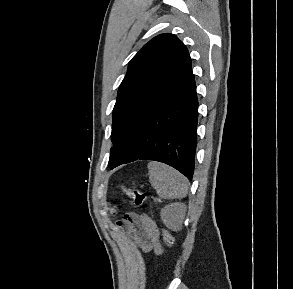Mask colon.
I'll return each instance as SVG.
<instances>
[{"label": "colon", "instance_id": "colon-1", "mask_svg": "<svg viewBox=\"0 0 293 289\" xmlns=\"http://www.w3.org/2000/svg\"><path fill=\"white\" fill-rule=\"evenodd\" d=\"M123 191L132 199V201L136 204V205H142L145 203L146 199H147V195L145 192L139 190V189H135V188H131V187H126L123 186ZM163 240L165 242V244L168 247H172L174 244V237L172 236V234L164 229L163 230Z\"/></svg>", "mask_w": 293, "mask_h": 289}]
</instances>
